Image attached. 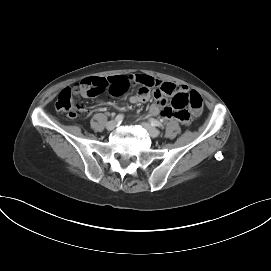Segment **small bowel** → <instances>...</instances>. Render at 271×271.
Masks as SVG:
<instances>
[{
  "instance_id": "1",
  "label": "small bowel",
  "mask_w": 271,
  "mask_h": 271,
  "mask_svg": "<svg viewBox=\"0 0 271 271\" xmlns=\"http://www.w3.org/2000/svg\"><path fill=\"white\" fill-rule=\"evenodd\" d=\"M81 84L83 88L79 94L83 97H100L105 94L109 99H121L131 91L135 84H139L141 87L137 93L127 99L130 103H145L153 94L155 102L150 107L151 114H161L167 119H177L183 124L190 122V113L187 110H179L173 105L167 104V97L188 92V88L184 85H175L171 82L160 81L150 75L137 73L126 76L87 78ZM183 113L187 114L189 118H183Z\"/></svg>"
}]
</instances>
